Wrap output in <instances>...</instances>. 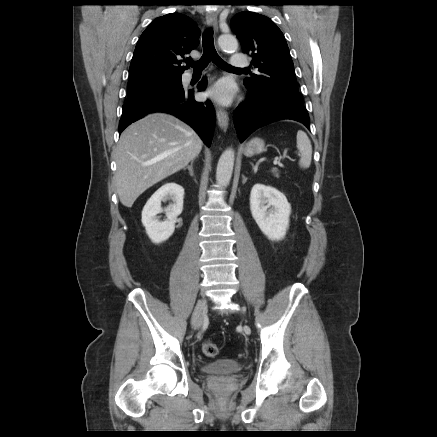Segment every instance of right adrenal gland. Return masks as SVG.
Here are the masks:
<instances>
[{"label":"right adrenal gland","mask_w":437,"mask_h":437,"mask_svg":"<svg viewBox=\"0 0 437 437\" xmlns=\"http://www.w3.org/2000/svg\"><path fill=\"white\" fill-rule=\"evenodd\" d=\"M193 163L194 160L191 161L190 165L187 166V169L189 170L190 175L193 177L194 176V171H193ZM186 169V168H185Z\"/></svg>","instance_id":"1"}]
</instances>
